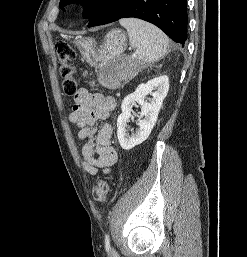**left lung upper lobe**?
Returning <instances> with one entry per match:
<instances>
[{"mask_svg":"<svg viewBox=\"0 0 247 257\" xmlns=\"http://www.w3.org/2000/svg\"><path fill=\"white\" fill-rule=\"evenodd\" d=\"M104 0H61L59 7L64 10V7L68 4L79 2L83 4L86 8L83 12L84 18H89L94 13V11L99 7V5Z\"/></svg>","mask_w":247,"mask_h":257,"instance_id":"left-lung-upper-lobe-1","label":"left lung upper lobe"}]
</instances>
